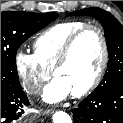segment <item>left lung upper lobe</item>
I'll use <instances>...</instances> for the list:
<instances>
[{"label":"left lung upper lobe","instance_id":"left-lung-upper-lobe-1","mask_svg":"<svg viewBox=\"0 0 123 123\" xmlns=\"http://www.w3.org/2000/svg\"><path fill=\"white\" fill-rule=\"evenodd\" d=\"M71 14L93 16L104 28L109 61L103 81L96 89L108 90L116 84H123V26L109 12L96 7L74 11Z\"/></svg>","mask_w":123,"mask_h":123}]
</instances>
